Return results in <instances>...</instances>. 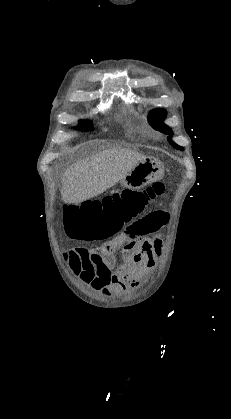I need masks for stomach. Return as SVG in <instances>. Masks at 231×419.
I'll return each mask as SVG.
<instances>
[{
    "mask_svg": "<svg viewBox=\"0 0 231 419\" xmlns=\"http://www.w3.org/2000/svg\"><path fill=\"white\" fill-rule=\"evenodd\" d=\"M164 176L163 164L150 157L139 161L130 172H128L120 183L125 188L140 189L144 186L162 179Z\"/></svg>",
    "mask_w": 231,
    "mask_h": 419,
    "instance_id": "obj_1",
    "label": "stomach"
}]
</instances>
